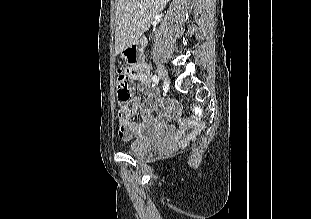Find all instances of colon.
<instances>
[{
	"mask_svg": "<svg viewBox=\"0 0 311 219\" xmlns=\"http://www.w3.org/2000/svg\"><path fill=\"white\" fill-rule=\"evenodd\" d=\"M130 48V47H129ZM129 48L126 55L129 58V62H135L133 56L129 53ZM132 84L130 81L129 69L120 68L117 71V100L120 106H126L132 97Z\"/></svg>",
	"mask_w": 311,
	"mask_h": 219,
	"instance_id": "obj_1",
	"label": "colon"
}]
</instances>
